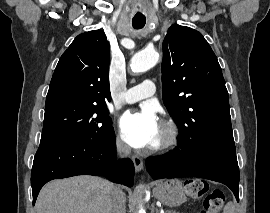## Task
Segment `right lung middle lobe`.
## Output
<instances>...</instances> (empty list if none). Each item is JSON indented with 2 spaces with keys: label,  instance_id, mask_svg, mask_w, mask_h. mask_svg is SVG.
Returning <instances> with one entry per match:
<instances>
[{
  "label": "right lung middle lobe",
  "instance_id": "right-lung-middle-lobe-1",
  "mask_svg": "<svg viewBox=\"0 0 270 213\" xmlns=\"http://www.w3.org/2000/svg\"><path fill=\"white\" fill-rule=\"evenodd\" d=\"M106 105L65 102L45 107L41 140L98 139L113 131Z\"/></svg>",
  "mask_w": 270,
  "mask_h": 213
}]
</instances>
